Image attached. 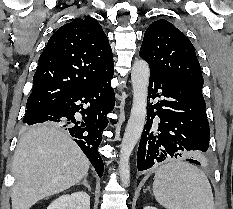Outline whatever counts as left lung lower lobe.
Returning a JSON list of instances; mask_svg holds the SVG:
<instances>
[{
	"instance_id": "1",
	"label": "left lung lower lobe",
	"mask_w": 233,
	"mask_h": 209,
	"mask_svg": "<svg viewBox=\"0 0 233 209\" xmlns=\"http://www.w3.org/2000/svg\"><path fill=\"white\" fill-rule=\"evenodd\" d=\"M147 122L137 153L139 171L186 151L208 150L210 129L203 96L189 85L150 70ZM158 117V122L155 118ZM187 161L200 165L197 160Z\"/></svg>"
}]
</instances>
